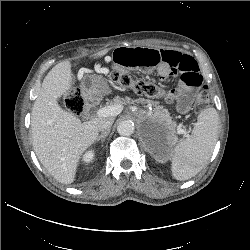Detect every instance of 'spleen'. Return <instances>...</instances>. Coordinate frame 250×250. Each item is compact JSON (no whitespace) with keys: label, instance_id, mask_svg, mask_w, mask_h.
<instances>
[{"label":"spleen","instance_id":"3e777b00","mask_svg":"<svg viewBox=\"0 0 250 250\" xmlns=\"http://www.w3.org/2000/svg\"><path fill=\"white\" fill-rule=\"evenodd\" d=\"M219 119L214 108L200 112L192 134L171 152V171L175 179L185 181L197 175L210 159L217 141Z\"/></svg>","mask_w":250,"mask_h":250}]
</instances>
